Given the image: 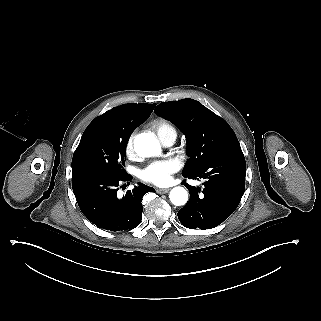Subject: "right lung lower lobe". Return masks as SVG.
<instances>
[{
	"instance_id": "98d812e1",
	"label": "right lung lower lobe",
	"mask_w": 321,
	"mask_h": 321,
	"mask_svg": "<svg viewBox=\"0 0 321 321\" xmlns=\"http://www.w3.org/2000/svg\"><path fill=\"white\" fill-rule=\"evenodd\" d=\"M132 177L115 176L92 169L72 170V187L82 213L97 227L120 231L134 229L142 220V198L152 187L139 183L118 199V186Z\"/></svg>"
}]
</instances>
